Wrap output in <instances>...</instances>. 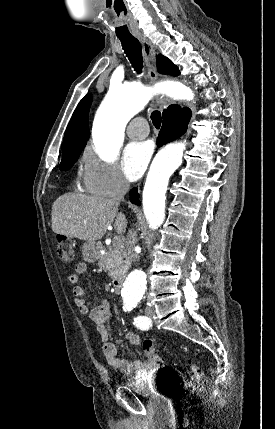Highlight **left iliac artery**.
I'll return each instance as SVG.
<instances>
[{
  "label": "left iliac artery",
  "mask_w": 275,
  "mask_h": 429,
  "mask_svg": "<svg viewBox=\"0 0 275 429\" xmlns=\"http://www.w3.org/2000/svg\"><path fill=\"white\" fill-rule=\"evenodd\" d=\"M134 325L141 330H146L151 326V320L146 316H138L134 318Z\"/></svg>",
  "instance_id": "left-iliac-artery-1"
}]
</instances>
